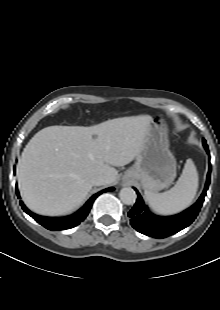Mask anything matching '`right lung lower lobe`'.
Segmentation results:
<instances>
[{
  "label": "right lung lower lobe",
  "instance_id": "obj_1",
  "mask_svg": "<svg viewBox=\"0 0 220 310\" xmlns=\"http://www.w3.org/2000/svg\"><path fill=\"white\" fill-rule=\"evenodd\" d=\"M114 188L110 187L107 189H104L96 194H94L85 204L83 207H81L77 212L70 216L66 217H43L39 216L35 213H32L27 207L23 204L22 201H20V205L22 209L30 215L35 221H37L39 224L47 228L48 230L56 231V230H64V229H70L77 225H79L88 215L90 212V209L92 207V204L94 200L104 192H110L113 191ZM16 193L18 195V198H20L18 188L16 186Z\"/></svg>",
  "mask_w": 220,
  "mask_h": 310
}]
</instances>
